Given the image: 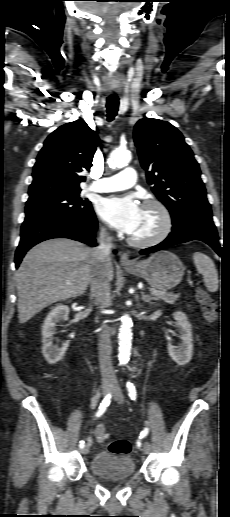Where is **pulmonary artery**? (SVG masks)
Masks as SVG:
<instances>
[{
  "label": "pulmonary artery",
  "instance_id": "e3ab8cb5",
  "mask_svg": "<svg viewBox=\"0 0 230 517\" xmlns=\"http://www.w3.org/2000/svg\"><path fill=\"white\" fill-rule=\"evenodd\" d=\"M136 183V172L125 168L122 172L93 182L90 190L100 193L113 192L131 188Z\"/></svg>",
  "mask_w": 230,
  "mask_h": 517
}]
</instances>
